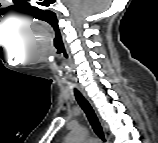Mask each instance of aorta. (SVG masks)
<instances>
[{
	"label": "aorta",
	"instance_id": "762f6f07",
	"mask_svg": "<svg viewBox=\"0 0 158 143\" xmlns=\"http://www.w3.org/2000/svg\"><path fill=\"white\" fill-rule=\"evenodd\" d=\"M84 137V131L83 130H77L74 131L71 135V141H81Z\"/></svg>",
	"mask_w": 158,
	"mask_h": 143
}]
</instances>
